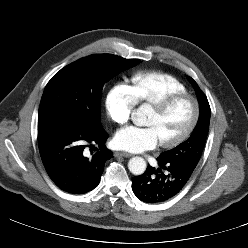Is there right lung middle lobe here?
I'll list each match as a JSON object with an SVG mask.
<instances>
[{
  "label": "right lung middle lobe",
  "mask_w": 248,
  "mask_h": 248,
  "mask_svg": "<svg viewBox=\"0 0 248 248\" xmlns=\"http://www.w3.org/2000/svg\"><path fill=\"white\" fill-rule=\"evenodd\" d=\"M139 62L111 54H94L65 66L44 89L38 126L59 123L84 131L98 129L104 84Z\"/></svg>",
  "instance_id": "right-lung-middle-lobe-1"
}]
</instances>
